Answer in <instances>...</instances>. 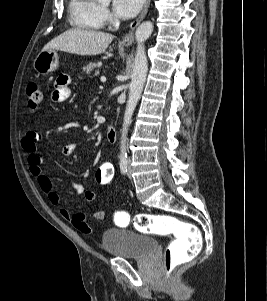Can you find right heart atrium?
Listing matches in <instances>:
<instances>
[{"label": "right heart atrium", "mask_w": 267, "mask_h": 301, "mask_svg": "<svg viewBox=\"0 0 267 301\" xmlns=\"http://www.w3.org/2000/svg\"><path fill=\"white\" fill-rule=\"evenodd\" d=\"M100 15H101V18H102V21L103 23L104 22H107L110 18V14H109V11L106 7L104 6H101L100 7Z\"/></svg>", "instance_id": "right-heart-atrium-1"}]
</instances>
